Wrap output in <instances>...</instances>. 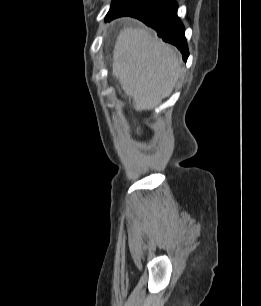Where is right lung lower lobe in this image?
I'll return each instance as SVG.
<instances>
[{
	"label": "right lung lower lobe",
	"mask_w": 261,
	"mask_h": 306,
	"mask_svg": "<svg viewBox=\"0 0 261 306\" xmlns=\"http://www.w3.org/2000/svg\"><path fill=\"white\" fill-rule=\"evenodd\" d=\"M131 16L157 31L165 42L175 45L186 61L189 55L184 35V26L177 17L175 0H132L120 9L110 12L106 21L117 17Z\"/></svg>",
	"instance_id": "1"
}]
</instances>
